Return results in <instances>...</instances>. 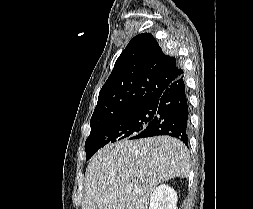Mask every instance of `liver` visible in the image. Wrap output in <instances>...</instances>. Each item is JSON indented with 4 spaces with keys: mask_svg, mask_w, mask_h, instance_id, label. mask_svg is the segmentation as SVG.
Returning <instances> with one entry per match:
<instances>
[{
    "mask_svg": "<svg viewBox=\"0 0 253 209\" xmlns=\"http://www.w3.org/2000/svg\"><path fill=\"white\" fill-rule=\"evenodd\" d=\"M189 172L187 148L176 138L155 136L109 144L87 166L82 209H147L159 183L187 178Z\"/></svg>",
    "mask_w": 253,
    "mask_h": 209,
    "instance_id": "obj_1",
    "label": "liver"
}]
</instances>
